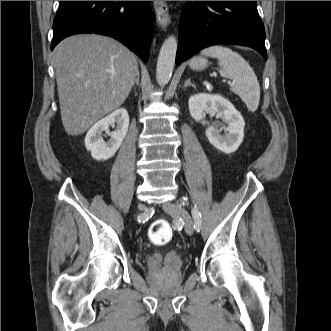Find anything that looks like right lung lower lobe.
<instances>
[{
    "label": "right lung lower lobe",
    "mask_w": 331,
    "mask_h": 331,
    "mask_svg": "<svg viewBox=\"0 0 331 331\" xmlns=\"http://www.w3.org/2000/svg\"><path fill=\"white\" fill-rule=\"evenodd\" d=\"M79 33L113 37L146 62L152 37L150 1H60L51 50Z\"/></svg>",
    "instance_id": "1"
}]
</instances>
